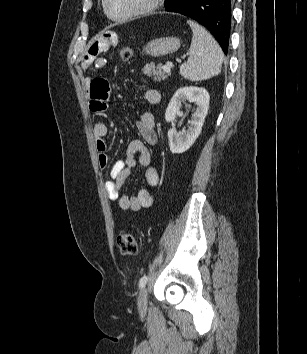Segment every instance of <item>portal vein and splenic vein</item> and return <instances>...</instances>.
<instances>
[{
    "mask_svg": "<svg viewBox=\"0 0 307 354\" xmlns=\"http://www.w3.org/2000/svg\"><path fill=\"white\" fill-rule=\"evenodd\" d=\"M172 66H173V63L171 61H168L166 63V65L163 66V69L166 73H170Z\"/></svg>",
    "mask_w": 307,
    "mask_h": 354,
    "instance_id": "portal-vein-and-splenic-vein-1",
    "label": "portal vein and splenic vein"
}]
</instances>
